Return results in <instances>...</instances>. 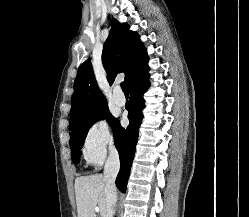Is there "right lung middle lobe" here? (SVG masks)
I'll use <instances>...</instances> for the list:
<instances>
[{
  "label": "right lung middle lobe",
  "instance_id": "right-lung-middle-lobe-1",
  "mask_svg": "<svg viewBox=\"0 0 249 217\" xmlns=\"http://www.w3.org/2000/svg\"><path fill=\"white\" fill-rule=\"evenodd\" d=\"M107 119L112 125L115 119L109 114L107 104H103L83 115L77 119L70 121V147H71V158L74 163L79 162L80 149L84 143L86 135L90 127L99 120Z\"/></svg>",
  "mask_w": 249,
  "mask_h": 217
}]
</instances>
